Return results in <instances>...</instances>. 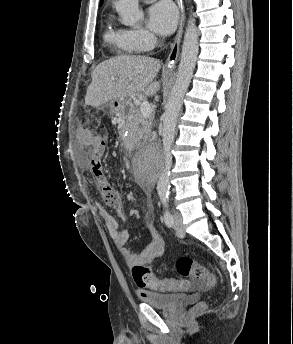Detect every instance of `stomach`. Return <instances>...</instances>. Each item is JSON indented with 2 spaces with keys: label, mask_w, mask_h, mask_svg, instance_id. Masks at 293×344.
I'll list each match as a JSON object with an SVG mask.
<instances>
[{
  "label": "stomach",
  "mask_w": 293,
  "mask_h": 344,
  "mask_svg": "<svg viewBox=\"0 0 293 344\" xmlns=\"http://www.w3.org/2000/svg\"><path fill=\"white\" fill-rule=\"evenodd\" d=\"M112 113L123 115L125 110L128 108V102L125 100H113L107 105ZM101 109L103 107H100Z\"/></svg>",
  "instance_id": "obj_1"
}]
</instances>
